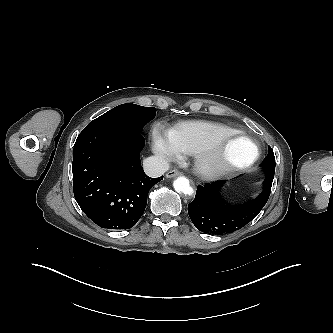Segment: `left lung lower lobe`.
Returning a JSON list of instances; mask_svg holds the SVG:
<instances>
[{
  "mask_svg": "<svg viewBox=\"0 0 333 333\" xmlns=\"http://www.w3.org/2000/svg\"><path fill=\"white\" fill-rule=\"evenodd\" d=\"M266 170V169H265ZM275 168L266 170L264 190L254 200L233 207L220 196L224 181L197 188L195 199L188 205L189 216L197 229L209 234H227L241 229L253 220L267 203Z\"/></svg>",
  "mask_w": 333,
  "mask_h": 333,
  "instance_id": "left-lung-lower-lobe-1",
  "label": "left lung lower lobe"
}]
</instances>
